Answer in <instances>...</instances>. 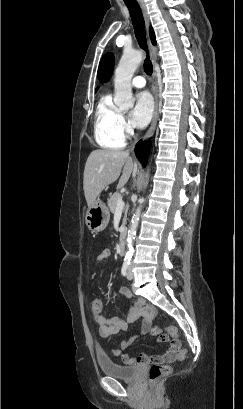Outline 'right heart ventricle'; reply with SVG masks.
Listing matches in <instances>:
<instances>
[{
    "label": "right heart ventricle",
    "mask_w": 243,
    "mask_h": 409,
    "mask_svg": "<svg viewBox=\"0 0 243 409\" xmlns=\"http://www.w3.org/2000/svg\"><path fill=\"white\" fill-rule=\"evenodd\" d=\"M120 112L113 105L111 95L104 94L95 111L94 135L103 148L120 149L125 145V138L118 129Z\"/></svg>",
    "instance_id": "obj_1"
}]
</instances>
